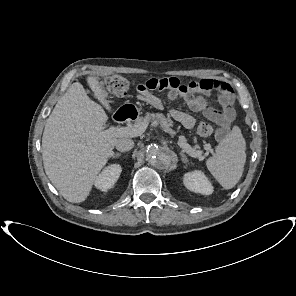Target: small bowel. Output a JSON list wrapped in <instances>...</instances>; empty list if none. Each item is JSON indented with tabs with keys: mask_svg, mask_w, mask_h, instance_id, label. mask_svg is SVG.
I'll return each instance as SVG.
<instances>
[{
	"mask_svg": "<svg viewBox=\"0 0 296 296\" xmlns=\"http://www.w3.org/2000/svg\"><path fill=\"white\" fill-rule=\"evenodd\" d=\"M166 90L168 98L172 101L182 100L194 112L203 111L207 117L218 124L217 136L224 137L235 117L234 93L229 83L205 78L200 81H192L182 84L177 78L168 77L162 79L150 78L137 86L139 99L152 105L155 108H161V100L155 96L153 90ZM216 91L219 93L218 101L221 111H216L215 115H209L211 109L207 106V96ZM172 118L187 129L195 126V119L189 113L180 110H171Z\"/></svg>",
	"mask_w": 296,
	"mask_h": 296,
	"instance_id": "obj_1",
	"label": "small bowel"
}]
</instances>
